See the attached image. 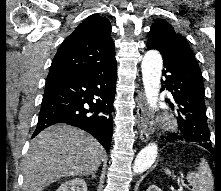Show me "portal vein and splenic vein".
<instances>
[{"mask_svg": "<svg viewBox=\"0 0 221 191\" xmlns=\"http://www.w3.org/2000/svg\"><path fill=\"white\" fill-rule=\"evenodd\" d=\"M179 185H180V188L190 189L189 185L185 184L183 181H180Z\"/></svg>", "mask_w": 221, "mask_h": 191, "instance_id": "1", "label": "portal vein and splenic vein"}]
</instances>
